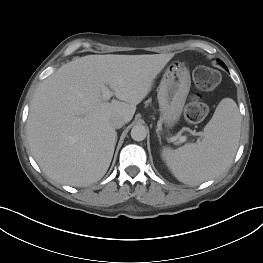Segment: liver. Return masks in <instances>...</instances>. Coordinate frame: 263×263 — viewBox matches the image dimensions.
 Returning <instances> with one entry per match:
<instances>
[{
  "label": "liver",
  "instance_id": "liver-1",
  "mask_svg": "<svg viewBox=\"0 0 263 263\" xmlns=\"http://www.w3.org/2000/svg\"><path fill=\"white\" fill-rule=\"evenodd\" d=\"M171 54L87 55L43 80L31 101L27 135L32 155L52 180L70 186L99 181L117 139L111 125L132 120ZM117 99H104L102 87Z\"/></svg>",
  "mask_w": 263,
  "mask_h": 263
}]
</instances>
